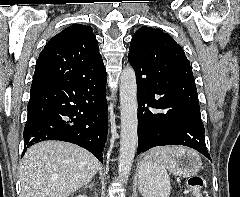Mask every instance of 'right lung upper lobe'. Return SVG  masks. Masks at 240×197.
Listing matches in <instances>:
<instances>
[{
  "label": "right lung upper lobe",
  "mask_w": 240,
  "mask_h": 197,
  "mask_svg": "<svg viewBox=\"0 0 240 197\" xmlns=\"http://www.w3.org/2000/svg\"><path fill=\"white\" fill-rule=\"evenodd\" d=\"M103 72L92 28L74 24L55 35L39 54L32 86L54 80H81Z\"/></svg>",
  "instance_id": "1"
}]
</instances>
